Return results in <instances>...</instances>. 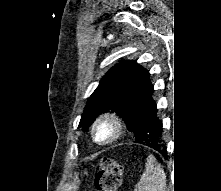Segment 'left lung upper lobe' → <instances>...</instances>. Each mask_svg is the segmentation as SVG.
Here are the masks:
<instances>
[{
	"instance_id": "obj_1",
	"label": "left lung upper lobe",
	"mask_w": 221,
	"mask_h": 191,
	"mask_svg": "<svg viewBox=\"0 0 221 191\" xmlns=\"http://www.w3.org/2000/svg\"><path fill=\"white\" fill-rule=\"evenodd\" d=\"M139 65L135 61H122L113 66L101 79L98 87L88 99L79 127L85 131L95 118L103 112H116L121 116L128 129L134 133L136 143L149 145L134 131V119L131 112L132 86Z\"/></svg>"
}]
</instances>
